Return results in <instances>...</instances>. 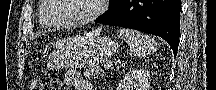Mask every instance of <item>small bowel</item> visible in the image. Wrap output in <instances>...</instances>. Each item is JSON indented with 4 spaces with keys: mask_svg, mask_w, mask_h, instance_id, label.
<instances>
[{
    "mask_svg": "<svg viewBox=\"0 0 216 90\" xmlns=\"http://www.w3.org/2000/svg\"><path fill=\"white\" fill-rule=\"evenodd\" d=\"M64 83L69 87H74L76 90H92L91 83L83 79L77 70H68L64 75Z\"/></svg>",
    "mask_w": 216,
    "mask_h": 90,
    "instance_id": "c3829d8e",
    "label": "small bowel"
}]
</instances>
